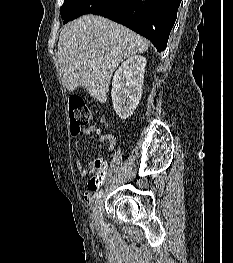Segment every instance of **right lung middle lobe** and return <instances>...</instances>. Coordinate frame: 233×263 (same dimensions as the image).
<instances>
[{"mask_svg": "<svg viewBox=\"0 0 233 263\" xmlns=\"http://www.w3.org/2000/svg\"><path fill=\"white\" fill-rule=\"evenodd\" d=\"M122 0H64L60 13L64 23L84 14H97L116 9Z\"/></svg>", "mask_w": 233, "mask_h": 263, "instance_id": "right-lung-middle-lobe-1", "label": "right lung middle lobe"}]
</instances>
